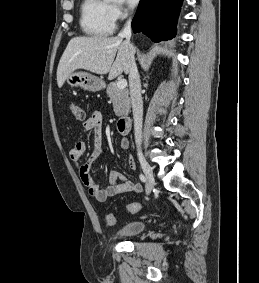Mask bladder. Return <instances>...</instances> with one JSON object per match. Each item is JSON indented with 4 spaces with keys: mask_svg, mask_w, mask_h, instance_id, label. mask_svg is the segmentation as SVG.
<instances>
[{
    "mask_svg": "<svg viewBox=\"0 0 259 283\" xmlns=\"http://www.w3.org/2000/svg\"><path fill=\"white\" fill-rule=\"evenodd\" d=\"M146 227L143 221H132L122 226L116 233L118 238H128L136 236L144 231Z\"/></svg>",
    "mask_w": 259,
    "mask_h": 283,
    "instance_id": "1",
    "label": "bladder"
}]
</instances>
